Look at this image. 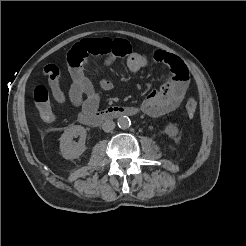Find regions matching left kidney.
<instances>
[{"label": "left kidney", "instance_id": "5707ae66", "mask_svg": "<svg viewBox=\"0 0 246 246\" xmlns=\"http://www.w3.org/2000/svg\"><path fill=\"white\" fill-rule=\"evenodd\" d=\"M178 131H179L178 127L175 124H169L164 129V133L167 134L171 138L176 137L178 134Z\"/></svg>", "mask_w": 246, "mask_h": 246}]
</instances>
